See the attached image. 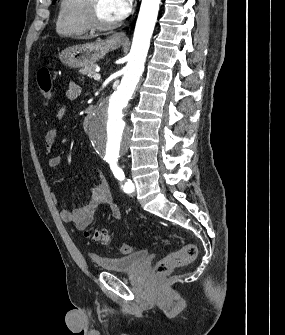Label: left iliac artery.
<instances>
[{"label": "left iliac artery", "instance_id": "obj_1", "mask_svg": "<svg viewBox=\"0 0 285 335\" xmlns=\"http://www.w3.org/2000/svg\"><path fill=\"white\" fill-rule=\"evenodd\" d=\"M108 163L110 164L114 176L120 181L125 180L123 170L117 166V159L109 160ZM122 189L125 193H131L134 191V184L130 179H126L125 184L122 185Z\"/></svg>", "mask_w": 285, "mask_h": 335}]
</instances>
